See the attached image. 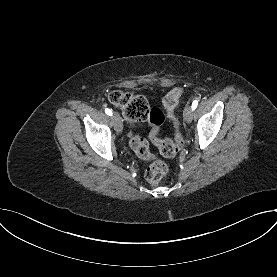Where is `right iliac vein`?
Listing matches in <instances>:
<instances>
[{
    "label": "right iliac vein",
    "mask_w": 277,
    "mask_h": 277,
    "mask_svg": "<svg viewBox=\"0 0 277 277\" xmlns=\"http://www.w3.org/2000/svg\"><path fill=\"white\" fill-rule=\"evenodd\" d=\"M112 120H113V125H114L116 132L121 133L123 130V124H122V120H121V117L119 116V114L114 113L112 116Z\"/></svg>",
    "instance_id": "right-iliac-vein-1"
}]
</instances>
